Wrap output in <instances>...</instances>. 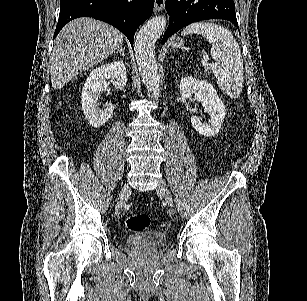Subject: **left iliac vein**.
<instances>
[{
  "label": "left iliac vein",
  "mask_w": 307,
  "mask_h": 301,
  "mask_svg": "<svg viewBox=\"0 0 307 301\" xmlns=\"http://www.w3.org/2000/svg\"><path fill=\"white\" fill-rule=\"evenodd\" d=\"M157 193L161 194L168 204L169 207L173 208L174 207V200L173 197L171 196V193L169 191V188L167 185L162 181L161 184L157 188Z\"/></svg>",
  "instance_id": "obj_1"
}]
</instances>
